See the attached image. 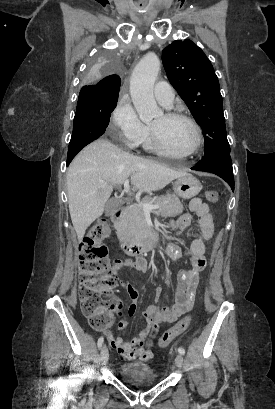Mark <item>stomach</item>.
<instances>
[{
  "mask_svg": "<svg viewBox=\"0 0 275 409\" xmlns=\"http://www.w3.org/2000/svg\"><path fill=\"white\" fill-rule=\"evenodd\" d=\"M174 192L181 198H192L200 192L202 186L200 180L193 176V174H186V176H179L174 182Z\"/></svg>",
  "mask_w": 275,
  "mask_h": 409,
  "instance_id": "0dacf381",
  "label": "stomach"
}]
</instances>
